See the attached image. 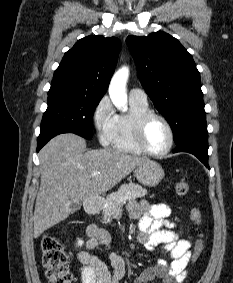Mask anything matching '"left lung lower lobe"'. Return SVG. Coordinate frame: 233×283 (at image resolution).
Masks as SVG:
<instances>
[{
    "label": "left lung lower lobe",
    "mask_w": 233,
    "mask_h": 283,
    "mask_svg": "<svg viewBox=\"0 0 233 283\" xmlns=\"http://www.w3.org/2000/svg\"><path fill=\"white\" fill-rule=\"evenodd\" d=\"M208 137H192L178 145L174 152H188L195 155L206 167L208 165Z\"/></svg>",
    "instance_id": "obj_1"
}]
</instances>
